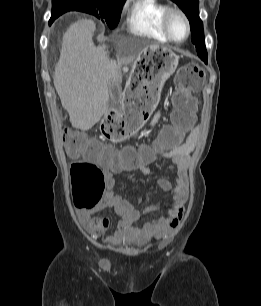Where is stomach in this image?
<instances>
[{
  "instance_id": "1",
  "label": "stomach",
  "mask_w": 261,
  "mask_h": 306,
  "mask_svg": "<svg viewBox=\"0 0 261 306\" xmlns=\"http://www.w3.org/2000/svg\"><path fill=\"white\" fill-rule=\"evenodd\" d=\"M178 56L170 49L151 46L142 51L135 61L136 76L128 83L121 108L117 113L126 126L125 136L137 133L148 121L156 108L165 82L178 66ZM145 71H139V67ZM106 119V117H105Z\"/></svg>"
}]
</instances>
